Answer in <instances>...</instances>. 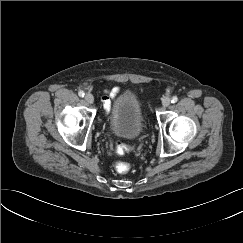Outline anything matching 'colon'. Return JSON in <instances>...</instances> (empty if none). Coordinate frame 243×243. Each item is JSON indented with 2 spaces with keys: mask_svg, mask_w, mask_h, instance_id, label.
Segmentation results:
<instances>
[{
  "mask_svg": "<svg viewBox=\"0 0 243 243\" xmlns=\"http://www.w3.org/2000/svg\"><path fill=\"white\" fill-rule=\"evenodd\" d=\"M116 150L118 154H123L129 150V147L121 142H118L116 145ZM115 169L118 173H126L129 171L130 165L126 162H119L115 165Z\"/></svg>",
  "mask_w": 243,
  "mask_h": 243,
  "instance_id": "obj_1",
  "label": "colon"
}]
</instances>
